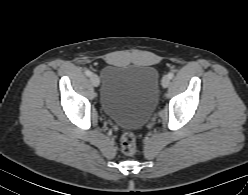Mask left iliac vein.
<instances>
[{"mask_svg":"<svg viewBox=\"0 0 248 195\" xmlns=\"http://www.w3.org/2000/svg\"><path fill=\"white\" fill-rule=\"evenodd\" d=\"M162 86L164 87V88H167L168 86H169V84H170V78L166 75V76H164L163 78H162Z\"/></svg>","mask_w":248,"mask_h":195,"instance_id":"left-iliac-vein-1","label":"left iliac vein"}]
</instances>
